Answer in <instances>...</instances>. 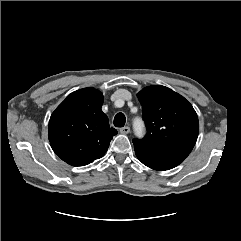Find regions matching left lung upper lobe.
Masks as SVG:
<instances>
[{
	"instance_id": "obj_1",
	"label": "left lung upper lobe",
	"mask_w": 241,
	"mask_h": 241,
	"mask_svg": "<svg viewBox=\"0 0 241 241\" xmlns=\"http://www.w3.org/2000/svg\"><path fill=\"white\" fill-rule=\"evenodd\" d=\"M147 134L133 143L146 148L190 154L199 132L198 117L192 105L180 94L161 86L144 88L138 94Z\"/></svg>"
}]
</instances>
